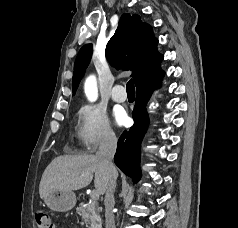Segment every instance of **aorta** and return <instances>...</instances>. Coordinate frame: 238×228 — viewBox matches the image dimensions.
Masks as SVG:
<instances>
[{"label":"aorta","mask_w":238,"mask_h":228,"mask_svg":"<svg viewBox=\"0 0 238 228\" xmlns=\"http://www.w3.org/2000/svg\"><path fill=\"white\" fill-rule=\"evenodd\" d=\"M84 90L87 98L90 101H95L98 97L97 83L94 76H90L86 79L84 84Z\"/></svg>","instance_id":"aorta-1"}]
</instances>
